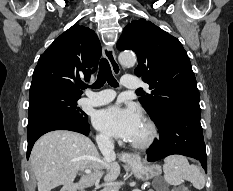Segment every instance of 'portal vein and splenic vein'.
<instances>
[{
  "label": "portal vein and splenic vein",
  "instance_id": "portal-vein-and-splenic-vein-1",
  "mask_svg": "<svg viewBox=\"0 0 233 191\" xmlns=\"http://www.w3.org/2000/svg\"><path fill=\"white\" fill-rule=\"evenodd\" d=\"M86 174H90L91 173V170L87 169L84 171ZM151 191V190H150Z\"/></svg>",
  "mask_w": 233,
  "mask_h": 191
}]
</instances>
